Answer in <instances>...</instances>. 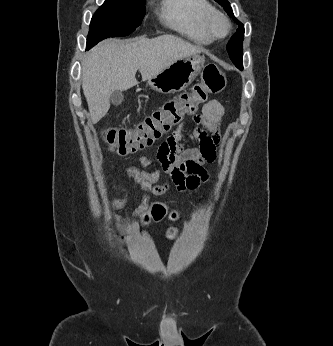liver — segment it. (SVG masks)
<instances>
[{"label":"liver","mask_w":333,"mask_h":346,"mask_svg":"<svg viewBox=\"0 0 333 346\" xmlns=\"http://www.w3.org/2000/svg\"><path fill=\"white\" fill-rule=\"evenodd\" d=\"M202 51L173 35L99 43L82 62V89L92 122H99L107 114L112 92L128 90L138 83L137 70L145 81L177 60Z\"/></svg>","instance_id":"1"}]
</instances>
